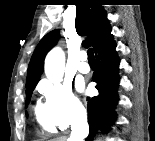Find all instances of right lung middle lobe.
<instances>
[{"label": "right lung middle lobe", "instance_id": "1", "mask_svg": "<svg viewBox=\"0 0 155 141\" xmlns=\"http://www.w3.org/2000/svg\"><path fill=\"white\" fill-rule=\"evenodd\" d=\"M36 84L30 85L26 87V106L28 105L30 98H31V94L33 89L35 88Z\"/></svg>", "mask_w": 155, "mask_h": 141}]
</instances>
